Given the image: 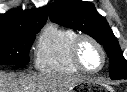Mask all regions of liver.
Instances as JSON below:
<instances>
[{
	"instance_id": "6515ba94",
	"label": "liver",
	"mask_w": 127,
	"mask_h": 92,
	"mask_svg": "<svg viewBox=\"0 0 127 92\" xmlns=\"http://www.w3.org/2000/svg\"><path fill=\"white\" fill-rule=\"evenodd\" d=\"M84 81L80 77L51 74L13 77L0 71V92H69Z\"/></svg>"
}]
</instances>
